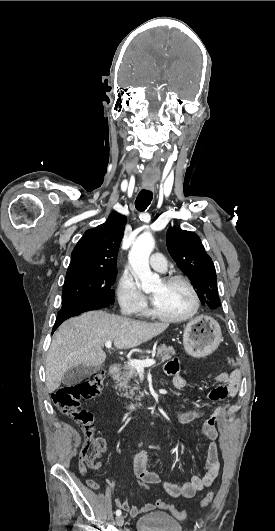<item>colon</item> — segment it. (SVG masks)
Segmentation results:
<instances>
[{"label": "colon", "mask_w": 275, "mask_h": 531, "mask_svg": "<svg viewBox=\"0 0 275 531\" xmlns=\"http://www.w3.org/2000/svg\"><path fill=\"white\" fill-rule=\"evenodd\" d=\"M227 361L232 367L238 364L237 359L232 356ZM103 383L104 375L100 372L89 378L81 379L61 387L53 395V403L57 409L72 418L82 430L84 442L80 451L79 468L81 472H85L87 467L95 468L100 466L99 456L105 448V442L95 438L94 414L90 410L80 408L81 400H87L97 396ZM88 485L96 488V482L93 479L88 480ZM139 485H142L145 491L150 489V486L143 482H140ZM214 498L213 492L207 493L200 500V507L206 508L213 502ZM156 503L158 509L170 511L175 517L179 518V522L187 521L185 511L178 510L164 501H157Z\"/></svg>", "instance_id": "1"}]
</instances>
